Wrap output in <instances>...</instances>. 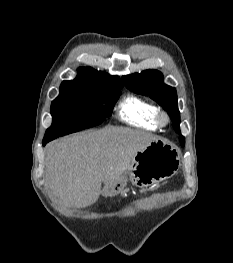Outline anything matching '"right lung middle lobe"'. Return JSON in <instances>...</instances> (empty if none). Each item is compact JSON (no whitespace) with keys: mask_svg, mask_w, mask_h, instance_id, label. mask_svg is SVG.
Here are the masks:
<instances>
[{"mask_svg":"<svg viewBox=\"0 0 233 263\" xmlns=\"http://www.w3.org/2000/svg\"><path fill=\"white\" fill-rule=\"evenodd\" d=\"M121 88L91 95L58 96L51 104L52 125L46 130L43 140L101 124L111 115L121 95Z\"/></svg>","mask_w":233,"mask_h":263,"instance_id":"dd1d6c3e","label":"right lung middle lobe"}]
</instances>
